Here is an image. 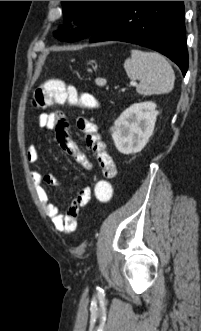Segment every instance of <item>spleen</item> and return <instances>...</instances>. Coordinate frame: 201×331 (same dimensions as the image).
I'll return each instance as SVG.
<instances>
[{
    "instance_id": "3e777b00",
    "label": "spleen",
    "mask_w": 201,
    "mask_h": 331,
    "mask_svg": "<svg viewBox=\"0 0 201 331\" xmlns=\"http://www.w3.org/2000/svg\"><path fill=\"white\" fill-rule=\"evenodd\" d=\"M124 69L130 79L140 80L136 87L139 94H166L174 87V71L159 53L133 49L124 62Z\"/></svg>"
}]
</instances>
